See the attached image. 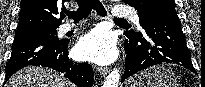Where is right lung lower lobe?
<instances>
[{
	"label": "right lung lower lobe",
	"mask_w": 205,
	"mask_h": 87,
	"mask_svg": "<svg viewBox=\"0 0 205 87\" xmlns=\"http://www.w3.org/2000/svg\"><path fill=\"white\" fill-rule=\"evenodd\" d=\"M69 41L56 36L27 34L15 37L11 58L6 65L5 82L18 70L28 65L49 67L76 84L92 87L93 69L87 63H75L68 58Z\"/></svg>",
	"instance_id": "98d812e1"
}]
</instances>
